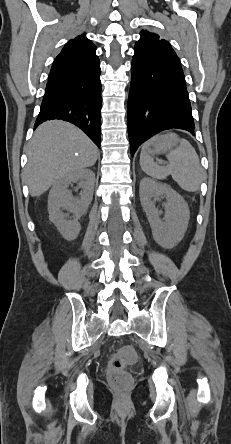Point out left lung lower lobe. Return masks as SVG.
I'll use <instances>...</instances> for the list:
<instances>
[{
  "mask_svg": "<svg viewBox=\"0 0 231 444\" xmlns=\"http://www.w3.org/2000/svg\"><path fill=\"white\" fill-rule=\"evenodd\" d=\"M128 100L131 155L160 131L178 128L193 134L191 104L181 66L160 57L135 53Z\"/></svg>",
  "mask_w": 231,
  "mask_h": 444,
  "instance_id": "left-lung-lower-lobe-1",
  "label": "left lung lower lobe"
}]
</instances>
